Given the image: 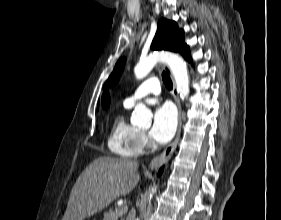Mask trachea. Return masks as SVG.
I'll list each match as a JSON object with an SVG mask.
<instances>
[{
    "label": "trachea",
    "mask_w": 281,
    "mask_h": 220,
    "mask_svg": "<svg viewBox=\"0 0 281 220\" xmlns=\"http://www.w3.org/2000/svg\"><path fill=\"white\" fill-rule=\"evenodd\" d=\"M162 79H163V82H164L165 86L167 87V89L171 90L173 87V84H172L171 78L169 77V75L166 72L162 73Z\"/></svg>",
    "instance_id": "3493384b"
}]
</instances>
